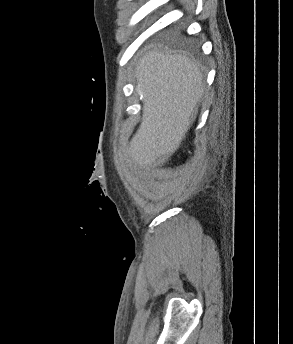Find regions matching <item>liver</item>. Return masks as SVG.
I'll return each mask as SVG.
<instances>
[{"mask_svg": "<svg viewBox=\"0 0 293 344\" xmlns=\"http://www.w3.org/2000/svg\"><path fill=\"white\" fill-rule=\"evenodd\" d=\"M143 116L128 154L137 165L156 164L179 148L205 85L197 64L186 56L155 48L135 69Z\"/></svg>", "mask_w": 293, "mask_h": 344, "instance_id": "obj_1", "label": "liver"}]
</instances>
